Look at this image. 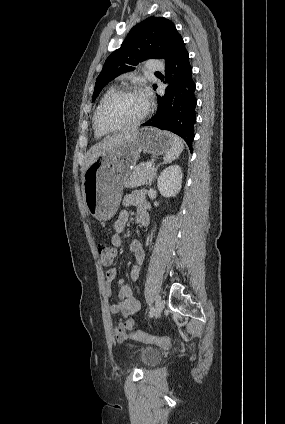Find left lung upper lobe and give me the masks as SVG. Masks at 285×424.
Wrapping results in <instances>:
<instances>
[{"label": "left lung upper lobe", "mask_w": 285, "mask_h": 424, "mask_svg": "<svg viewBox=\"0 0 285 424\" xmlns=\"http://www.w3.org/2000/svg\"><path fill=\"white\" fill-rule=\"evenodd\" d=\"M180 37L173 22L164 17H149L135 25L121 47L106 59L96 79L92 102L107 83L124 72L134 70L139 62L147 58L167 60Z\"/></svg>", "instance_id": "1"}]
</instances>
